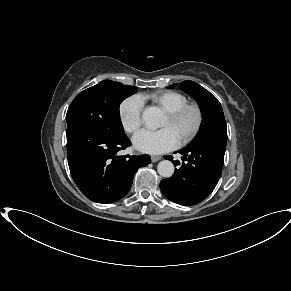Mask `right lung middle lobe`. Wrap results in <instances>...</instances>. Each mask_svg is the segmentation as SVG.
<instances>
[{
	"label": "right lung middle lobe",
	"mask_w": 291,
	"mask_h": 291,
	"mask_svg": "<svg viewBox=\"0 0 291 291\" xmlns=\"http://www.w3.org/2000/svg\"><path fill=\"white\" fill-rule=\"evenodd\" d=\"M137 87L104 80L80 92L66 114L67 128L82 127L102 135L124 134L119 106Z\"/></svg>",
	"instance_id": "right-lung-middle-lobe-1"
}]
</instances>
